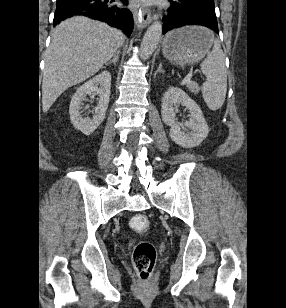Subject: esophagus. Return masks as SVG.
I'll return each mask as SVG.
<instances>
[{
    "instance_id": "esophagus-1",
    "label": "esophagus",
    "mask_w": 286,
    "mask_h": 308,
    "mask_svg": "<svg viewBox=\"0 0 286 308\" xmlns=\"http://www.w3.org/2000/svg\"><path fill=\"white\" fill-rule=\"evenodd\" d=\"M134 17L138 27H146L152 21V11L149 7H142L140 11H134Z\"/></svg>"
}]
</instances>
